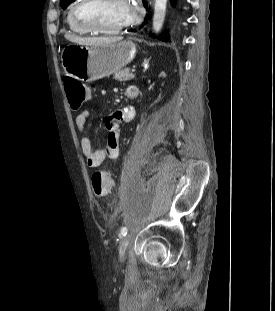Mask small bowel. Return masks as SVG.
Returning a JSON list of instances; mask_svg holds the SVG:
<instances>
[{
	"instance_id": "obj_1",
	"label": "small bowel",
	"mask_w": 275,
	"mask_h": 311,
	"mask_svg": "<svg viewBox=\"0 0 275 311\" xmlns=\"http://www.w3.org/2000/svg\"><path fill=\"white\" fill-rule=\"evenodd\" d=\"M140 91L137 87L131 86L127 89V96L131 100L138 99ZM88 110L81 111L75 119L77 133L81 136L80 146L84 159L88 166L97 167L101 165L106 158L114 159L119 154V138L121 125L130 122L135 116V108L133 105H126L113 112L105 122L106 135L103 146L95 149L91 140L86 136V122L89 118Z\"/></svg>"
}]
</instances>
